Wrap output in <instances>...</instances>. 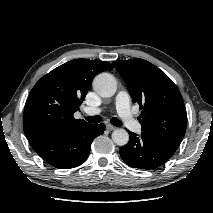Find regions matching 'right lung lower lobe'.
Listing matches in <instances>:
<instances>
[{
  "label": "right lung lower lobe",
  "mask_w": 213,
  "mask_h": 213,
  "mask_svg": "<svg viewBox=\"0 0 213 213\" xmlns=\"http://www.w3.org/2000/svg\"><path fill=\"white\" fill-rule=\"evenodd\" d=\"M105 130V125L85 124L57 136L33 134L27 136L34 151L47 163L70 169L81 165L90 153L91 143Z\"/></svg>",
  "instance_id": "obj_1"
}]
</instances>
